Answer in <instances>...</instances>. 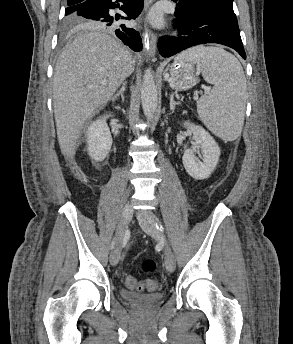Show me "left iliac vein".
<instances>
[{
    "label": "left iliac vein",
    "instance_id": "4c4485c4",
    "mask_svg": "<svg viewBox=\"0 0 293 344\" xmlns=\"http://www.w3.org/2000/svg\"><path fill=\"white\" fill-rule=\"evenodd\" d=\"M137 217L145 233L151 237L160 238L164 241L165 266L169 272H173L176 267L175 258L169 244L165 241L163 232L156 226L159 222L157 216L153 212L146 210L138 212Z\"/></svg>",
    "mask_w": 293,
    "mask_h": 344
}]
</instances>
